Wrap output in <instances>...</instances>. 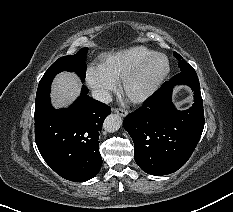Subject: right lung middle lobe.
Here are the masks:
<instances>
[{"mask_svg":"<svg viewBox=\"0 0 233 212\" xmlns=\"http://www.w3.org/2000/svg\"><path fill=\"white\" fill-rule=\"evenodd\" d=\"M88 48L80 49L75 55H69L59 58L45 72L39 82L36 102L46 97L50 93L51 82L56 74L62 71H75L84 81L86 72V55ZM35 102V103H36Z\"/></svg>","mask_w":233,"mask_h":212,"instance_id":"right-lung-middle-lobe-1","label":"right lung middle lobe"}]
</instances>
